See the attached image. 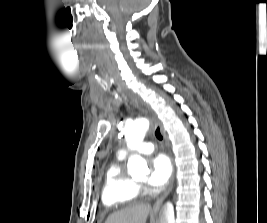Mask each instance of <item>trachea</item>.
Returning a JSON list of instances; mask_svg holds the SVG:
<instances>
[{"label": "trachea", "instance_id": "obj_1", "mask_svg": "<svg viewBox=\"0 0 267 223\" xmlns=\"http://www.w3.org/2000/svg\"><path fill=\"white\" fill-rule=\"evenodd\" d=\"M155 135H156V138H157L158 140H162V139H163V136H162V134H161V131H160V128H159V127H157V129H156V131H155Z\"/></svg>", "mask_w": 267, "mask_h": 223}]
</instances>
